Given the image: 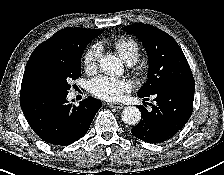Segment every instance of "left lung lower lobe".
Returning <instances> with one entry per match:
<instances>
[{
    "label": "left lung lower lobe",
    "mask_w": 224,
    "mask_h": 175,
    "mask_svg": "<svg viewBox=\"0 0 224 175\" xmlns=\"http://www.w3.org/2000/svg\"><path fill=\"white\" fill-rule=\"evenodd\" d=\"M195 85L168 84L160 87L150 95L142 96L144 101L154 98L150 104L139 105L140 122L132 128L131 133L148 143H162L171 139L191 117L193 110Z\"/></svg>",
    "instance_id": "left-lung-lower-lobe-1"
}]
</instances>
